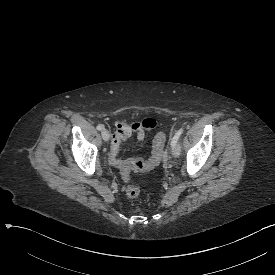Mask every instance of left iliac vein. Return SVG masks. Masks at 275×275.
<instances>
[{
  "mask_svg": "<svg viewBox=\"0 0 275 275\" xmlns=\"http://www.w3.org/2000/svg\"><path fill=\"white\" fill-rule=\"evenodd\" d=\"M180 146L178 144L172 146V154L174 157H178L180 155Z\"/></svg>",
  "mask_w": 275,
  "mask_h": 275,
  "instance_id": "left-iliac-vein-1",
  "label": "left iliac vein"
}]
</instances>
